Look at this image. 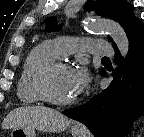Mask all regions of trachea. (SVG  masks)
Returning <instances> with one entry per match:
<instances>
[{"instance_id":"trachea-1","label":"trachea","mask_w":144,"mask_h":137,"mask_svg":"<svg viewBox=\"0 0 144 137\" xmlns=\"http://www.w3.org/2000/svg\"><path fill=\"white\" fill-rule=\"evenodd\" d=\"M102 60H110L108 57H103Z\"/></svg>"}]
</instances>
